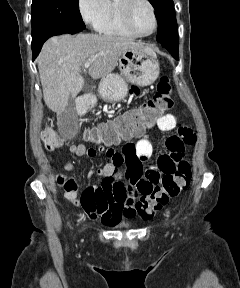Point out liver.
I'll return each instance as SVG.
<instances>
[{
  "label": "liver",
  "mask_w": 240,
  "mask_h": 288,
  "mask_svg": "<svg viewBox=\"0 0 240 288\" xmlns=\"http://www.w3.org/2000/svg\"><path fill=\"white\" fill-rule=\"evenodd\" d=\"M134 48L153 52L143 43L117 36L66 34L48 39L37 58L45 104L62 114L69 99L84 87L81 69L86 61H92L89 75L93 79L103 78L114 70L123 51Z\"/></svg>",
  "instance_id": "6515ba94"
}]
</instances>
